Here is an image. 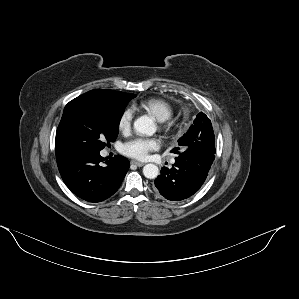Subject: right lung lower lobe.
Here are the masks:
<instances>
[{"label":"right lung lower lobe","instance_id":"right-lung-lower-lobe-1","mask_svg":"<svg viewBox=\"0 0 299 299\" xmlns=\"http://www.w3.org/2000/svg\"><path fill=\"white\" fill-rule=\"evenodd\" d=\"M58 168L66 186L75 195L89 202H100L118 190L129 169V161L120 155L107 160L99 151H87L58 161Z\"/></svg>","mask_w":299,"mask_h":299}]
</instances>
